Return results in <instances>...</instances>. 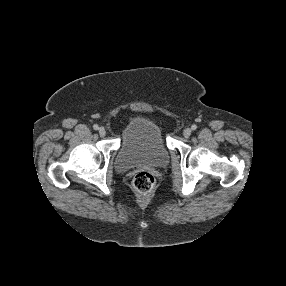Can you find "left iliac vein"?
<instances>
[{"instance_id":"4c4485c4","label":"left iliac vein","mask_w":286,"mask_h":286,"mask_svg":"<svg viewBox=\"0 0 286 286\" xmlns=\"http://www.w3.org/2000/svg\"><path fill=\"white\" fill-rule=\"evenodd\" d=\"M191 133H192V131H191L190 128H186V129L183 131V135H184V137H186V138L190 137Z\"/></svg>"}]
</instances>
